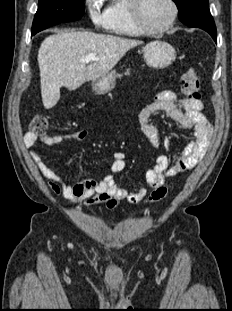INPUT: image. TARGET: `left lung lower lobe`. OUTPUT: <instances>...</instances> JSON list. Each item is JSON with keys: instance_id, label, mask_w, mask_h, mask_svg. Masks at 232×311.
Returning a JSON list of instances; mask_svg holds the SVG:
<instances>
[{"instance_id": "left-lung-lower-lobe-1", "label": "left lung lower lobe", "mask_w": 232, "mask_h": 311, "mask_svg": "<svg viewBox=\"0 0 232 311\" xmlns=\"http://www.w3.org/2000/svg\"><path fill=\"white\" fill-rule=\"evenodd\" d=\"M183 23L188 27H197L205 30L217 42L216 27L209 8L185 20Z\"/></svg>"}]
</instances>
